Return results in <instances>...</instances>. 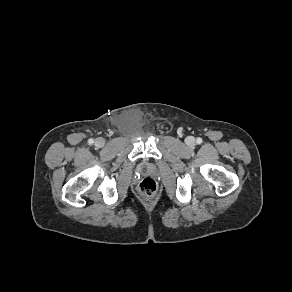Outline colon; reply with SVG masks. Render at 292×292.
<instances>
[{
    "label": "colon",
    "instance_id": "colon-1",
    "mask_svg": "<svg viewBox=\"0 0 292 292\" xmlns=\"http://www.w3.org/2000/svg\"><path fill=\"white\" fill-rule=\"evenodd\" d=\"M158 185L156 181L150 177L144 178L139 184L140 192L146 197H152L156 194Z\"/></svg>",
    "mask_w": 292,
    "mask_h": 292
}]
</instances>
